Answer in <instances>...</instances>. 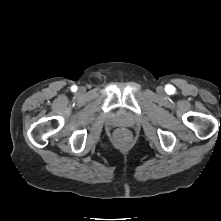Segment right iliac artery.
<instances>
[{
	"instance_id": "obj_1",
	"label": "right iliac artery",
	"mask_w": 221,
	"mask_h": 221,
	"mask_svg": "<svg viewBox=\"0 0 221 221\" xmlns=\"http://www.w3.org/2000/svg\"><path fill=\"white\" fill-rule=\"evenodd\" d=\"M77 87L76 86H72V91H76Z\"/></svg>"
}]
</instances>
